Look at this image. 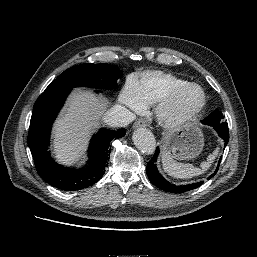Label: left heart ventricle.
Returning a JSON list of instances; mask_svg holds the SVG:
<instances>
[{
    "instance_id": "1",
    "label": "left heart ventricle",
    "mask_w": 257,
    "mask_h": 257,
    "mask_svg": "<svg viewBox=\"0 0 257 257\" xmlns=\"http://www.w3.org/2000/svg\"><path fill=\"white\" fill-rule=\"evenodd\" d=\"M202 98L198 89H190L184 92L173 104L171 110L174 114H186L194 110Z\"/></svg>"
}]
</instances>
